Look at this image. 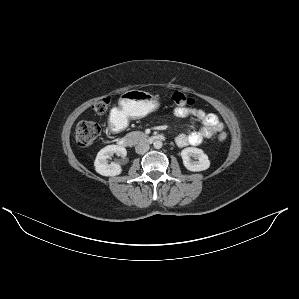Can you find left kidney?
<instances>
[{
    "label": "left kidney",
    "mask_w": 299,
    "mask_h": 299,
    "mask_svg": "<svg viewBox=\"0 0 299 299\" xmlns=\"http://www.w3.org/2000/svg\"><path fill=\"white\" fill-rule=\"evenodd\" d=\"M194 156L198 159L197 162H192L190 157ZM181 157L183 159V164L189 171L199 172L204 171L209 168L210 161L208 156L203 152L202 149L195 147H188L181 151Z\"/></svg>",
    "instance_id": "left-kidney-1"
}]
</instances>
